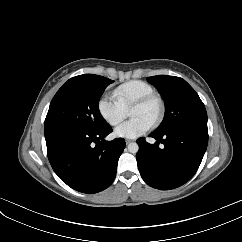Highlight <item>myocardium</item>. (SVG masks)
Here are the masks:
<instances>
[{"mask_svg": "<svg viewBox=\"0 0 242 242\" xmlns=\"http://www.w3.org/2000/svg\"><path fill=\"white\" fill-rule=\"evenodd\" d=\"M155 101L158 105V112L156 115L155 120L153 121V123L151 124V127H156L160 124V122L162 121L163 115H164V109H165V104H164V100L162 98V96L160 94L157 93H150L147 94L141 98H139L138 100H136L132 105V107H141V106H145L147 104H149L150 102Z\"/></svg>", "mask_w": 242, "mask_h": 242, "instance_id": "f54148a6", "label": "myocardium"}]
</instances>
